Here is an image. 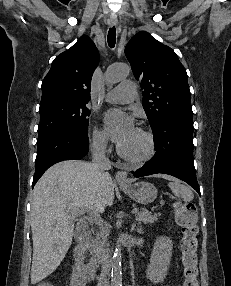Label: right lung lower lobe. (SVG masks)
Returning a JSON list of instances; mask_svg holds the SVG:
<instances>
[{"label": "right lung lower lobe", "mask_w": 231, "mask_h": 286, "mask_svg": "<svg viewBox=\"0 0 231 286\" xmlns=\"http://www.w3.org/2000/svg\"><path fill=\"white\" fill-rule=\"evenodd\" d=\"M87 134L76 131H60L39 139L37 141L38 152L32 187L53 164L63 160L83 158L89 149Z\"/></svg>", "instance_id": "1"}]
</instances>
